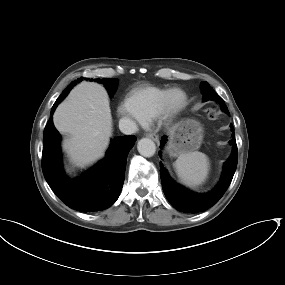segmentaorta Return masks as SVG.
Instances as JSON below:
<instances>
[{
	"label": "aorta",
	"mask_w": 285,
	"mask_h": 285,
	"mask_svg": "<svg viewBox=\"0 0 285 285\" xmlns=\"http://www.w3.org/2000/svg\"><path fill=\"white\" fill-rule=\"evenodd\" d=\"M138 152L144 157H152L156 152L155 143L149 138H142L137 144Z\"/></svg>",
	"instance_id": "1"
}]
</instances>
